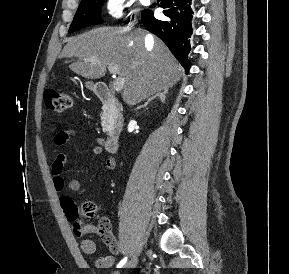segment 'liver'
<instances>
[{
  "label": "liver",
  "instance_id": "obj_1",
  "mask_svg": "<svg viewBox=\"0 0 289 274\" xmlns=\"http://www.w3.org/2000/svg\"><path fill=\"white\" fill-rule=\"evenodd\" d=\"M146 33L130 28L100 27L68 39L60 58H77L69 67L87 79H99L108 65L125 78L122 97L135 105L174 86L182 67L159 39L145 41Z\"/></svg>",
  "mask_w": 289,
  "mask_h": 274
}]
</instances>
